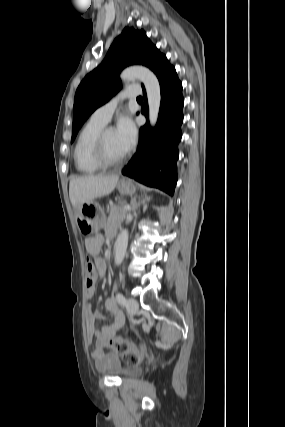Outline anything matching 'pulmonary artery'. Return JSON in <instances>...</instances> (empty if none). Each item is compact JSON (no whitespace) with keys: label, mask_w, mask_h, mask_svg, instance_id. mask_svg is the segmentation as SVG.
<instances>
[{"label":"pulmonary artery","mask_w":285,"mask_h":427,"mask_svg":"<svg viewBox=\"0 0 285 427\" xmlns=\"http://www.w3.org/2000/svg\"><path fill=\"white\" fill-rule=\"evenodd\" d=\"M142 93L140 86L138 85H129L123 91H121L118 95L112 98L110 101L105 103L104 105L97 108L93 114L92 118L100 121L104 124L108 123L111 119L112 114L114 113L117 105L123 99H132L139 97Z\"/></svg>","instance_id":"1"}]
</instances>
